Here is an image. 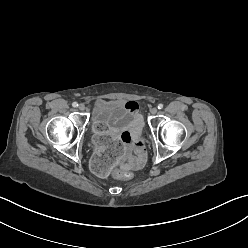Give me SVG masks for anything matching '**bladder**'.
I'll use <instances>...</instances> for the list:
<instances>
[{
  "instance_id": "1",
  "label": "bladder",
  "mask_w": 248,
  "mask_h": 248,
  "mask_svg": "<svg viewBox=\"0 0 248 248\" xmlns=\"http://www.w3.org/2000/svg\"><path fill=\"white\" fill-rule=\"evenodd\" d=\"M134 114L125 102L120 100H97L92 108L91 131L95 133L99 124L109 126L114 131L126 128Z\"/></svg>"
}]
</instances>
